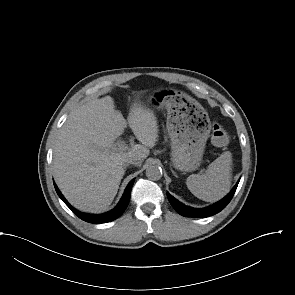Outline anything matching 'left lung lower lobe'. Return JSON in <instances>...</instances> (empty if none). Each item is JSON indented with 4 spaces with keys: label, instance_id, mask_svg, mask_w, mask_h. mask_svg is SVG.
Segmentation results:
<instances>
[{
    "label": "left lung lower lobe",
    "instance_id": "1",
    "mask_svg": "<svg viewBox=\"0 0 295 295\" xmlns=\"http://www.w3.org/2000/svg\"><path fill=\"white\" fill-rule=\"evenodd\" d=\"M238 183H239V181L234 186L232 191L226 197H224L221 201L215 203L214 205H211L206 208H201V209L192 208V207H188V206L183 205L178 200H176L172 195H170L168 192H167V197H168L169 202L173 206V208L182 216H185V217H209V216H212L216 213H219L221 210H223L228 205V203L230 202V200L232 199V197L236 191Z\"/></svg>",
    "mask_w": 295,
    "mask_h": 295
}]
</instances>
